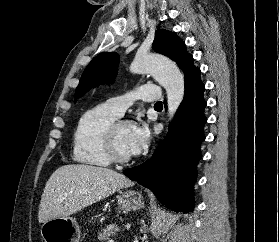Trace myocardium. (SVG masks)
I'll return each mask as SVG.
<instances>
[{"label":"myocardium","mask_w":279,"mask_h":242,"mask_svg":"<svg viewBox=\"0 0 279 242\" xmlns=\"http://www.w3.org/2000/svg\"><path fill=\"white\" fill-rule=\"evenodd\" d=\"M122 125H131V122L128 120H115L109 127L106 129L104 133V142L106 146V150L113 162L126 164L133 160L132 156L127 157L122 155L116 146V132L119 127Z\"/></svg>","instance_id":"myocardium-1"}]
</instances>
